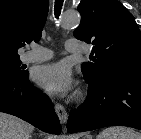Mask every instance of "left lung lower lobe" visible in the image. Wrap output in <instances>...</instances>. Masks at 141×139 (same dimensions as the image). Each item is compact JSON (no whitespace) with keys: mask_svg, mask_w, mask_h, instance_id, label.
Wrapping results in <instances>:
<instances>
[{"mask_svg":"<svg viewBox=\"0 0 141 139\" xmlns=\"http://www.w3.org/2000/svg\"><path fill=\"white\" fill-rule=\"evenodd\" d=\"M89 84L85 102L72 111L69 133L119 125L141 130V75L110 73Z\"/></svg>","mask_w":141,"mask_h":139,"instance_id":"obj_1","label":"left lung lower lobe"}]
</instances>
